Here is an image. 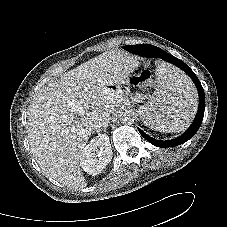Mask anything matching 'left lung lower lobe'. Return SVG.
<instances>
[{
	"label": "left lung lower lobe",
	"mask_w": 227,
	"mask_h": 227,
	"mask_svg": "<svg viewBox=\"0 0 227 227\" xmlns=\"http://www.w3.org/2000/svg\"><path fill=\"white\" fill-rule=\"evenodd\" d=\"M125 49L128 50L129 52H132L134 54L144 56V57L162 58V59L176 65L180 69L184 70L195 83V85L198 89V94H199V108H198V112L196 114V117H195L193 123L191 124V126L187 129V131L183 135H181L178 138L172 139V140L160 141V140H156V139L148 136L147 134H145L142 130H140L138 128L140 134L154 146L165 148V147H174V146H178L182 143H185L190 138H192L194 136V134L197 132V130L199 129L201 122L203 120V116H204L205 95H204L203 87H202L200 81L198 80L197 76L191 70V68L188 65H186L183 61L168 54L167 52L163 51L162 49H160L156 46L148 45V44H141V45L129 46Z\"/></svg>",
	"instance_id": "1"
}]
</instances>
